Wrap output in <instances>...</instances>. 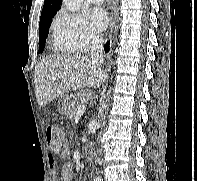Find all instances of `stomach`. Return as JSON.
I'll return each mask as SVG.
<instances>
[{"mask_svg": "<svg viewBox=\"0 0 197 181\" xmlns=\"http://www.w3.org/2000/svg\"><path fill=\"white\" fill-rule=\"evenodd\" d=\"M72 97L68 94H63L59 98L58 111L60 114H68L72 105Z\"/></svg>", "mask_w": 197, "mask_h": 181, "instance_id": "1", "label": "stomach"}]
</instances>
